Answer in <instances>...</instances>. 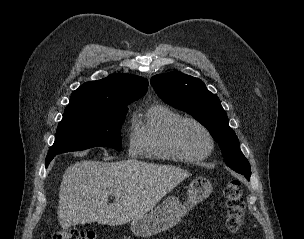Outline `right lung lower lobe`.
Here are the masks:
<instances>
[{"label": "right lung lower lobe", "instance_id": "98d812e1", "mask_svg": "<svg viewBox=\"0 0 304 239\" xmlns=\"http://www.w3.org/2000/svg\"><path fill=\"white\" fill-rule=\"evenodd\" d=\"M55 156H56V155H48V156L46 157V163H45L46 167L48 166V164L50 163V161H51Z\"/></svg>", "mask_w": 304, "mask_h": 239}]
</instances>
